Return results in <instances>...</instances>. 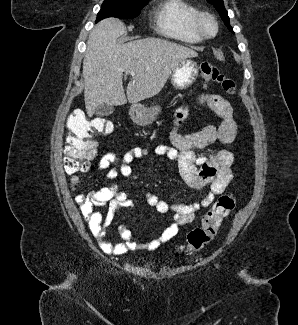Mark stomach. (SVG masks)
I'll return each mask as SVG.
<instances>
[{"label":"stomach","instance_id":"obj_1","mask_svg":"<svg viewBox=\"0 0 298 325\" xmlns=\"http://www.w3.org/2000/svg\"><path fill=\"white\" fill-rule=\"evenodd\" d=\"M198 74L199 68L197 62L191 60V58H182L181 62L171 72V84L177 90H185V88H189L191 84H194ZM161 110L162 106L160 104H154V106H149V108L135 104L131 108L130 116L136 124L146 126V124H151L153 120H156Z\"/></svg>","mask_w":298,"mask_h":325}]
</instances>
